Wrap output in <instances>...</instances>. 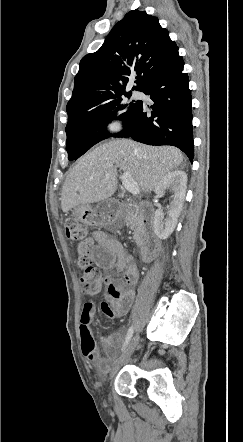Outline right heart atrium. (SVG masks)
<instances>
[{"instance_id":"obj_1","label":"right heart atrium","mask_w":243,"mask_h":442,"mask_svg":"<svg viewBox=\"0 0 243 442\" xmlns=\"http://www.w3.org/2000/svg\"><path fill=\"white\" fill-rule=\"evenodd\" d=\"M122 123L118 119H112L107 123V129L110 132H117L121 129Z\"/></svg>"}]
</instances>
